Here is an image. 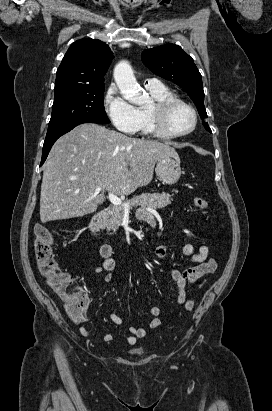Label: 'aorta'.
Instances as JSON below:
<instances>
[{
    "label": "aorta",
    "instance_id": "762f6f07",
    "mask_svg": "<svg viewBox=\"0 0 272 411\" xmlns=\"http://www.w3.org/2000/svg\"><path fill=\"white\" fill-rule=\"evenodd\" d=\"M114 80L124 99L132 104L141 105L147 98L146 93L137 83L130 64L119 62L114 68Z\"/></svg>",
    "mask_w": 272,
    "mask_h": 411
}]
</instances>
